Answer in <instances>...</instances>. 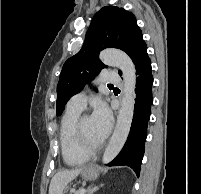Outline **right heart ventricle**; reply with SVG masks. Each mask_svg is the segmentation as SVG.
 I'll use <instances>...</instances> for the list:
<instances>
[{"instance_id":"e07e8e85","label":"right heart ventricle","mask_w":201,"mask_h":194,"mask_svg":"<svg viewBox=\"0 0 201 194\" xmlns=\"http://www.w3.org/2000/svg\"><path fill=\"white\" fill-rule=\"evenodd\" d=\"M81 110L67 106L60 123L59 140L63 160L66 164L75 166L87 161L89 155L82 152L77 144L75 124Z\"/></svg>"}]
</instances>
